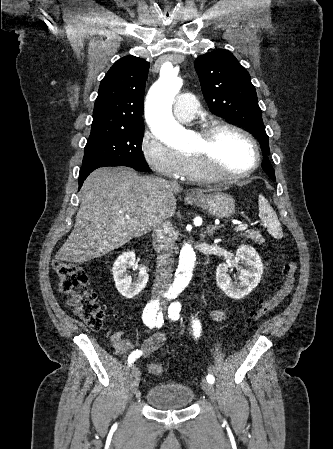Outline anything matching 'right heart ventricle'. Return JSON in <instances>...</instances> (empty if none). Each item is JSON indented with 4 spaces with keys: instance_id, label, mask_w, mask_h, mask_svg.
<instances>
[{
    "instance_id": "right-heart-ventricle-1",
    "label": "right heart ventricle",
    "mask_w": 333,
    "mask_h": 449,
    "mask_svg": "<svg viewBox=\"0 0 333 449\" xmlns=\"http://www.w3.org/2000/svg\"><path fill=\"white\" fill-rule=\"evenodd\" d=\"M184 157H185V166H184L182 178L196 180V181L204 180L205 178L200 173L194 160L189 155L184 156Z\"/></svg>"
}]
</instances>
